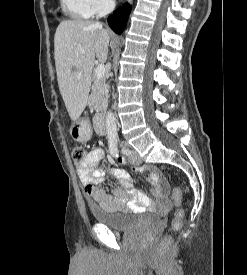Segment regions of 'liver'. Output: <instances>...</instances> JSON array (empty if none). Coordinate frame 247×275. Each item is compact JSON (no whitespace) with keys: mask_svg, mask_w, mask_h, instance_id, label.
<instances>
[{"mask_svg":"<svg viewBox=\"0 0 247 275\" xmlns=\"http://www.w3.org/2000/svg\"><path fill=\"white\" fill-rule=\"evenodd\" d=\"M111 33L99 23L80 19L62 21L55 32V65L59 90L71 120L84 111L95 57L107 60Z\"/></svg>","mask_w":247,"mask_h":275,"instance_id":"obj_1","label":"liver"}]
</instances>
